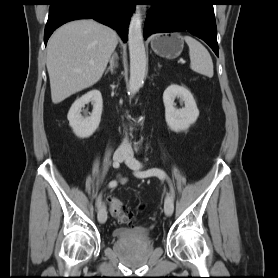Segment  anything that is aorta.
<instances>
[{"label":"aorta","mask_w":278,"mask_h":278,"mask_svg":"<svg viewBox=\"0 0 278 278\" xmlns=\"http://www.w3.org/2000/svg\"><path fill=\"white\" fill-rule=\"evenodd\" d=\"M128 45L130 54L129 92L133 95L143 85L147 63L140 11H136L131 17L128 29Z\"/></svg>","instance_id":"obj_1"}]
</instances>
